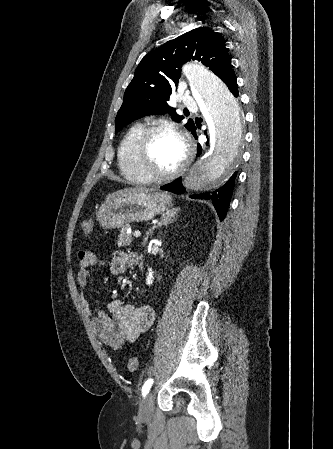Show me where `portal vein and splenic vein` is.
I'll return each instance as SVG.
<instances>
[{
	"label": "portal vein and splenic vein",
	"mask_w": 333,
	"mask_h": 449,
	"mask_svg": "<svg viewBox=\"0 0 333 449\" xmlns=\"http://www.w3.org/2000/svg\"><path fill=\"white\" fill-rule=\"evenodd\" d=\"M140 235H141L140 231H135V232H134V236H135L136 238L140 237Z\"/></svg>",
	"instance_id": "obj_1"
}]
</instances>
